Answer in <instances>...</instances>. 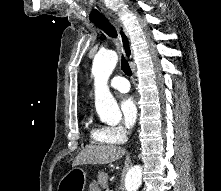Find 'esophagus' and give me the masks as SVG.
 I'll return each instance as SVG.
<instances>
[{
  "label": "esophagus",
  "instance_id": "obj_1",
  "mask_svg": "<svg viewBox=\"0 0 221 191\" xmlns=\"http://www.w3.org/2000/svg\"><path fill=\"white\" fill-rule=\"evenodd\" d=\"M108 20L117 30V33H118L121 45L124 49V52L127 54L128 58H131L132 57V50L130 47L129 36H128V33H127L122 21L114 15L108 16Z\"/></svg>",
  "mask_w": 221,
  "mask_h": 191
}]
</instances>
